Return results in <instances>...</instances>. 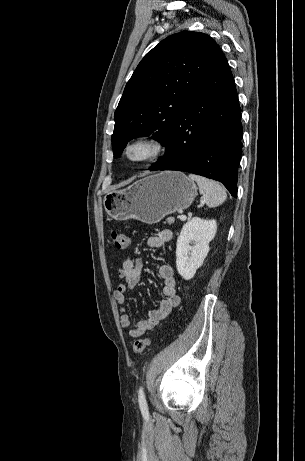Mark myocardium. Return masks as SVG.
Returning a JSON list of instances; mask_svg holds the SVG:
<instances>
[{"label":"myocardium","instance_id":"1","mask_svg":"<svg viewBox=\"0 0 305 461\" xmlns=\"http://www.w3.org/2000/svg\"><path fill=\"white\" fill-rule=\"evenodd\" d=\"M144 147L146 152L138 158L130 156V151L135 147ZM165 151L163 140L155 134H143L129 140L122 151L124 159L133 165H142L155 160Z\"/></svg>","mask_w":305,"mask_h":461}]
</instances>
